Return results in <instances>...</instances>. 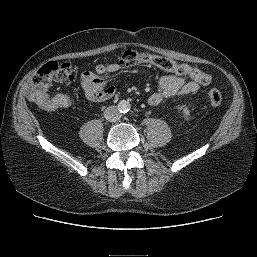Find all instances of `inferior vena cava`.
<instances>
[{
    "instance_id": "602c4592",
    "label": "inferior vena cava",
    "mask_w": 257,
    "mask_h": 257,
    "mask_svg": "<svg viewBox=\"0 0 257 257\" xmlns=\"http://www.w3.org/2000/svg\"><path fill=\"white\" fill-rule=\"evenodd\" d=\"M104 117L110 122H116L120 120L121 114L116 106H109L104 112Z\"/></svg>"
}]
</instances>
